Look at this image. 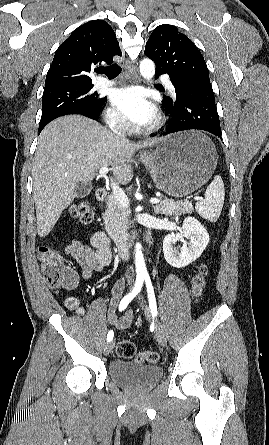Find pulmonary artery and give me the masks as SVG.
Wrapping results in <instances>:
<instances>
[{"instance_id":"pulmonary-artery-1","label":"pulmonary artery","mask_w":269,"mask_h":445,"mask_svg":"<svg viewBox=\"0 0 269 445\" xmlns=\"http://www.w3.org/2000/svg\"><path fill=\"white\" fill-rule=\"evenodd\" d=\"M163 81L168 88H171V89L173 88L172 82L170 81V79L167 76L163 77ZM114 83H115V81H113V80H109L107 78H100L96 82V87L97 88H106V87L112 86Z\"/></svg>"}]
</instances>
